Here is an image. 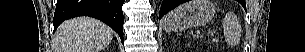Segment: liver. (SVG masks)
Instances as JSON below:
<instances>
[{
  "label": "liver",
  "mask_w": 305,
  "mask_h": 52,
  "mask_svg": "<svg viewBox=\"0 0 305 52\" xmlns=\"http://www.w3.org/2000/svg\"><path fill=\"white\" fill-rule=\"evenodd\" d=\"M113 38L106 24L90 17L63 22L56 31L54 52H101Z\"/></svg>",
  "instance_id": "liver-1"
}]
</instances>
